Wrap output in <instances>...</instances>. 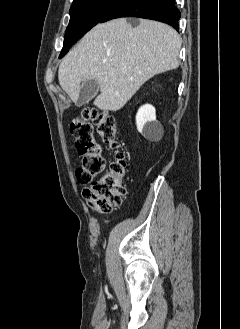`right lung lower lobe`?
Instances as JSON below:
<instances>
[{"instance_id": "1", "label": "right lung lower lobe", "mask_w": 240, "mask_h": 329, "mask_svg": "<svg viewBox=\"0 0 240 329\" xmlns=\"http://www.w3.org/2000/svg\"><path fill=\"white\" fill-rule=\"evenodd\" d=\"M120 17H139L171 25L178 31L180 11L175 6V0H121L100 21Z\"/></svg>"}]
</instances>
